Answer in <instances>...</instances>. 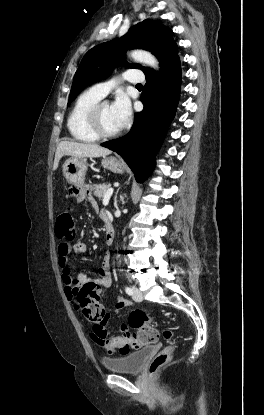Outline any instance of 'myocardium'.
I'll list each match as a JSON object with an SVG mask.
<instances>
[{
    "mask_svg": "<svg viewBox=\"0 0 264 415\" xmlns=\"http://www.w3.org/2000/svg\"><path fill=\"white\" fill-rule=\"evenodd\" d=\"M107 104L105 101H99L94 104L86 114V123L89 130L98 138V139H112L118 137L121 132L122 128L113 132V133H106L103 131L101 126L100 120V112L102 107Z\"/></svg>",
    "mask_w": 264,
    "mask_h": 415,
    "instance_id": "obj_1",
    "label": "myocardium"
}]
</instances>
